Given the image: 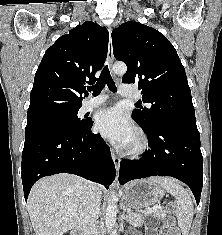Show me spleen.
I'll return each mask as SVG.
<instances>
[{"instance_id": "spleen-1", "label": "spleen", "mask_w": 222, "mask_h": 235, "mask_svg": "<svg viewBox=\"0 0 222 235\" xmlns=\"http://www.w3.org/2000/svg\"><path fill=\"white\" fill-rule=\"evenodd\" d=\"M147 182L159 185L164 191L175 197V214L178 226L183 235H188L194 215L193 203L188 192L175 179L170 177H152L147 179Z\"/></svg>"}]
</instances>
